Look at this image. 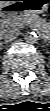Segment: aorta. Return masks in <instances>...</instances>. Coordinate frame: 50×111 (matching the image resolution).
Masks as SVG:
<instances>
[{"instance_id": "1", "label": "aorta", "mask_w": 50, "mask_h": 111, "mask_svg": "<svg viewBox=\"0 0 50 111\" xmlns=\"http://www.w3.org/2000/svg\"><path fill=\"white\" fill-rule=\"evenodd\" d=\"M37 39H38V37H37V34L35 32H28L24 36V40L28 44H34V43H36Z\"/></svg>"}]
</instances>
